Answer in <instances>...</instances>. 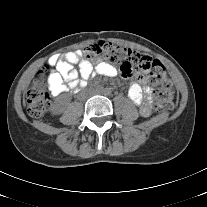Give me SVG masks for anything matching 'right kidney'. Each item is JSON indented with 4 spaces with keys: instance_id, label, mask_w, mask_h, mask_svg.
<instances>
[{
    "instance_id": "ca27d5eb",
    "label": "right kidney",
    "mask_w": 207,
    "mask_h": 207,
    "mask_svg": "<svg viewBox=\"0 0 207 207\" xmlns=\"http://www.w3.org/2000/svg\"><path fill=\"white\" fill-rule=\"evenodd\" d=\"M63 111L62 107H60L58 104H54L51 108V114L54 115H59Z\"/></svg>"
}]
</instances>
